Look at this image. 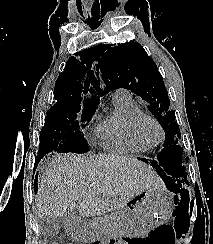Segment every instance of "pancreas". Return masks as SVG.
I'll list each match as a JSON object with an SVG mask.
<instances>
[{"instance_id":"pancreas-1","label":"pancreas","mask_w":213,"mask_h":244,"mask_svg":"<svg viewBox=\"0 0 213 244\" xmlns=\"http://www.w3.org/2000/svg\"><path fill=\"white\" fill-rule=\"evenodd\" d=\"M98 226L102 227V222Z\"/></svg>"}]
</instances>
